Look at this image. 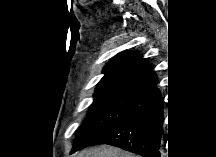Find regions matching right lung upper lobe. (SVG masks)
Segmentation results:
<instances>
[{
    "mask_svg": "<svg viewBox=\"0 0 216 157\" xmlns=\"http://www.w3.org/2000/svg\"><path fill=\"white\" fill-rule=\"evenodd\" d=\"M104 76L97 84L94 97L118 90L148 87L157 80L154 71L138 54L123 51L117 54L103 69Z\"/></svg>",
    "mask_w": 216,
    "mask_h": 157,
    "instance_id": "obj_1",
    "label": "right lung upper lobe"
}]
</instances>
